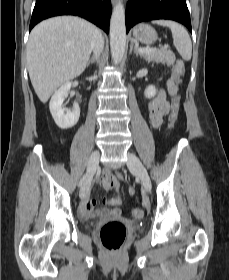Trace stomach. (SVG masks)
<instances>
[{
    "mask_svg": "<svg viewBox=\"0 0 229 280\" xmlns=\"http://www.w3.org/2000/svg\"><path fill=\"white\" fill-rule=\"evenodd\" d=\"M133 37L146 45H151L158 39L155 29L144 23L138 24L133 28Z\"/></svg>",
    "mask_w": 229,
    "mask_h": 280,
    "instance_id": "obj_1",
    "label": "stomach"
}]
</instances>
